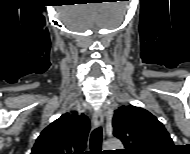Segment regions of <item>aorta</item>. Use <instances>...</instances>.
I'll return each mask as SVG.
<instances>
[{"mask_svg":"<svg viewBox=\"0 0 190 154\" xmlns=\"http://www.w3.org/2000/svg\"><path fill=\"white\" fill-rule=\"evenodd\" d=\"M123 145L122 142L119 139H109L104 144L105 150H116V149H122Z\"/></svg>","mask_w":190,"mask_h":154,"instance_id":"1","label":"aorta"}]
</instances>
